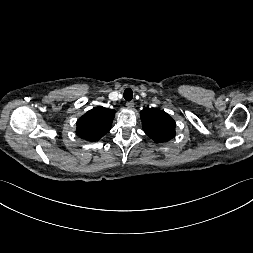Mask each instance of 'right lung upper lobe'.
<instances>
[{"label":"right lung upper lobe","instance_id":"1","mask_svg":"<svg viewBox=\"0 0 253 253\" xmlns=\"http://www.w3.org/2000/svg\"><path fill=\"white\" fill-rule=\"evenodd\" d=\"M114 115L112 109L93 108L78 119L76 134L91 142L98 141L111 129Z\"/></svg>","mask_w":253,"mask_h":253}]
</instances>
